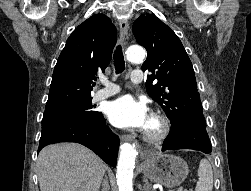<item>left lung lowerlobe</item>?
Returning <instances> with one entry per match:
<instances>
[{"label": "left lung lower lobe", "mask_w": 251, "mask_h": 191, "mask_svg": "<svg viewBox=\"0 0 251 191\" xmlns=\"http://www.w3.org/2000/svg\"><path fill=\"white\" fill-rule=\"evenodd\" d=\"M177 149H193L211 153L212 146L206 126L199 123L186 124L175 131H170L164 141L162 151Z\"/></svg>", "instance_id": "left-lung-lower-lobe-1"}]
</instances>
